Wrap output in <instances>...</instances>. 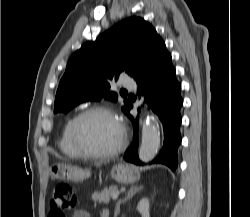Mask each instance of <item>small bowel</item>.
<instances>
[{"instance_id":"obj_1","label":"small bowel","mask_w":250,"mask_h":217,"mask_svg":"<svg viewBox=\"0 0 250 217\" xmlns=\"http://www.w3.org/2000/svg\"><path fill=\"white\" fill-rule=\"evenodd\" d=\"M103 212L109 213L108 210L104 209L101 211L100 217H102ZM72 217H90V214L84 209H78V210L74 211Z\"/></svg>"}]
</instances>
